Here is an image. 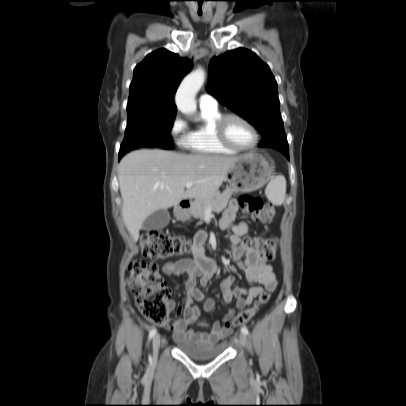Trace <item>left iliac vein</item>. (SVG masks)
Masks as SVG:
<instances>
[{
	"label": "left iliac vein",
	"mask_w": 406,
	"mask_h": 406,
	"mask_svg": "<svg viewBox=\"0 0 406 406\" xmlns=\"http://www.w3.org/2000/svg\"><path fill=\"white\" fill-rule=\"evenodd\" d=\"M238 341L243 347H246V345H247V336L244 333L239 334Z\"/></svg>",
	"instance_id": "left-iliac-vein-1"
}]
</instances>
